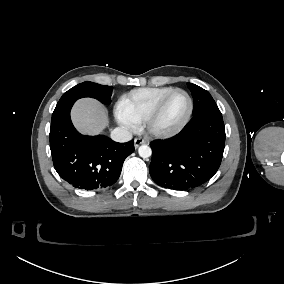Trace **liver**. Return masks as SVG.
I'll return each mask as SVG.
<instances>
[{"label":"liver","mask_w":284,"mask_h":284,"mask_svg":"<svg viewBox=\"0 0 284 284\" xmlns=\"http://www.w3.org/2000/svg\"><path fill=\"white\" fill-rule=\"evenodd\" d=\"M75 127L84 134L96 135L108 125L107 110L97 100H78L71 112Z\"/></svg>","instance_id":"obj_1"}]
</instances>
